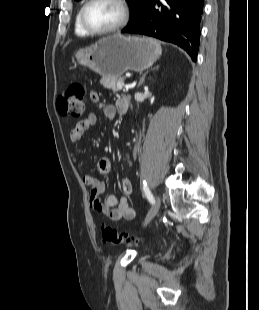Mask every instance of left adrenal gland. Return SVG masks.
Returning <instances> with one entry per match:
<instances>
[{"mask_svg":"<svg viewBox=\"0 0 259 310\" xmlns=\"http://www.w3.org/2000/svg\"><path fill=\"white\" fill-rule=\"evenodd\" d=\"M159 68V66H157L156 67V69H158ZM146 75H147V73H145L142 77H141V79H140V81H139V83H138V88L145 82V77H146Z\"/></svg>","mask_w":259,"mask_h":310,"instance_id":"left-adrenal-gland-1","label":"left adrenal gland"}]
</instances>
